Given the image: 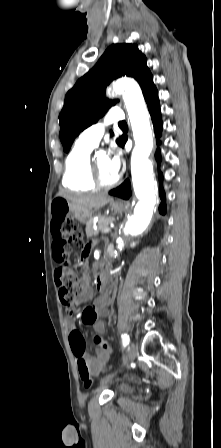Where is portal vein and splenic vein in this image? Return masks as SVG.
I'll list each match as a JSON object with an SVG mask.
<instances>
[{"mask_svg":"<svg viewBox=\"0 0 221 448\" xmlns=\"http://www.w3.org/2000/svg\"><path fill=\"white\" fill-rule=\"evenodd\" d=\"M111 227H113V225L104 227V229L101 230V233H108V232H110Z\"/></svg>","mask_w":221,"mask_h":448,"instance_id":"18ae733b","label":"portal vein and splenic vein"}]
</instances>
